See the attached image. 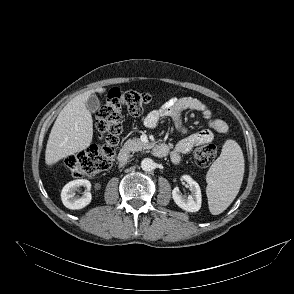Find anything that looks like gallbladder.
Returning a JSON list of instances; mask_svg holds the SVG:
<instances>
[{
  "instance_id": "obj_1",
  "label": "gallbladder",
  "mask_w": 294,
  "mask_h": 294,
  "mask_svg": "<svg viewBox=\"0 0 294 294\" xmlns=\"http://www.w3.org/2000/svg\"><path fill=\"white\" fill-rule=\"evenodd\" d=\"M86 107L91 112L97 111L100 107V101L98 97L92 94L86 101Z\"/></svg>"
}]
</instances>
